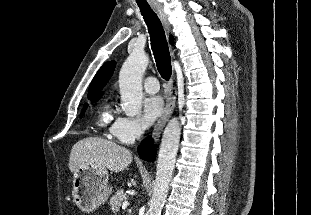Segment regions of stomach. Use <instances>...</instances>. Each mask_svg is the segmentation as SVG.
<instances>
[{"mask_svg": "<svg viewBox=\"0 0 311 215\" xmlns=\"http://www.w3.org/2000/svg\"><path fill=\"white\" fill-rule=\"evenodd\" d=\"M112 187L108 182L105 168L80 166L74 172L73 197L76 205L83 211L91 212L106 202Z\"/></svg>", "mask_w": 311, "mask_h": 215, "instance_id": "stomach-1", "label": "stomach"}]
</instances>
